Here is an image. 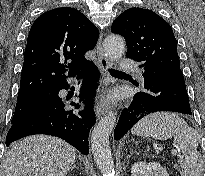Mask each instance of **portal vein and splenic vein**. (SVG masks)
Listing matches in <instances>:
<instances>
[{"instance_id": "18ae733b", "label": "portal vein and splenic vein", "mask_w": 205, "mask_h": 176, "mask_svg": "<svg viewBox=\"0 0 205 176\" xmlns=\"http://www.w3.org/2000/svg\"><path fill=\"white\" fill-rule=\"evenodd\" d=\"M171 153L174 154V155H179V156H181L180 153H179V151H177V150H175V149H172V150H171Z\"/></svg>"}]
</instances>
